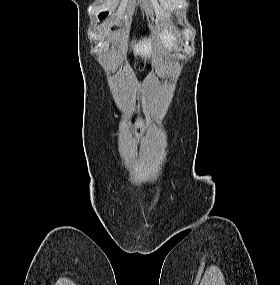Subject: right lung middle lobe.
I'll return each mask as SVG.
<instances>
[{
  "label": "right lung middle lobe",
  "instance_id": "1",
  "mask_svg": "<svg viewBox=\"0 0 280 285\" xmlns=\"http://www.w3.org/2000/svg\"><path fill=\"white\" fill-rule=\"evenodd\" d=\"M107 15H108V13L105 12V13H101L98 17H99L100 20H102V19H104Z\"/></svg>",
  "mask_w": 280,
  "mask_h": 285
}]
</instances>
